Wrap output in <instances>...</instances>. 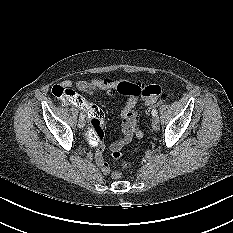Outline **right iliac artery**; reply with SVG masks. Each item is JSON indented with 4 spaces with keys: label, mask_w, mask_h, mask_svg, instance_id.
<instances>
[{
    "label": "right iliac artery",
    "mask_w": 233,
    "mask_h": 233,
    "mask_svg": "<svg viewBox=\"0 0 233 233\" xmlns=\"http://www.w3.org/2000/svg\"><path fill=\"white\" fill-rule=\"evenodd\" d=\"M84 117H85L84 113L81 112L80 118L84 119Z\"/></svg>",
    "instance_id": "obj_1"
}]
</instances>
